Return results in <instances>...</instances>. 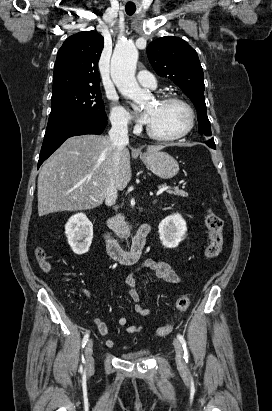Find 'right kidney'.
I'll use <instances>...</instances> for the list:
<instances>
[{"label": "right kidney", "instance_id": "1", "mask_svg": "<svg viewBox=\"0 0 272 411\" xmlns=\"http://www.w3.org/2000/svg\"><path fill=\"white\" fill-rule=\"evenodd\" d=\"M65 234L75 254L82 255L89 251L93 239V225L85 214L73 215L65 225Z\"/></svg>", "mask_w": 272, "mask_h": 411}]
</instances>
